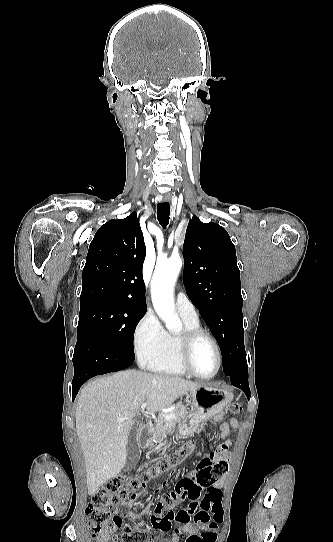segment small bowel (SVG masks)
<instances>
[{
  "label": "small bowel",
  "instance_id": "c3829d8e",
  "mask_svg": "<svg viewBox=\"0 0 333 542\" xmlns=\"http://www.w3.org/2000/svg\"><path fill=\"white\" fill-rule=\"evenodd\" d=\"M214 422H219V421H214ZM239 428V423L238 421L235 419V418H231L228 422H224L222 423L221 427H220V433L219 435L213 439V442H218L220 443L219 445V450L220 451H217L216 454L214 451H209L208 452V457L209 458H214L215 455L216 457L220 460L221 458L224 460L225 458L227 460H229L231 457L229 455H227L226 457L223 455V453H227V451L230 449V447L232 446L233 444V439L229 437V434H230V430L233 429V430H237ZM153 482H152V481ZM151 480H146L145 484H141V489H148L149 485H151L152 483H154L155 485L158 483L156 481V479L153 477ZM225 483V479L224 478H220L218 480H216L213 484V487L219 489L221 488ZM154 493L155 494H160L161 493V488L160 487H155L154 488ZM163 498H166L168 497V493H163ZM152 499V495L150 496H143L141 494H136L133 498L127 500V501H124L121 503V506L123 507H138L140 504H142L144 501H150ZM149 504L144 507V508H141V509H135L134 511L130 512L128 514L129 516V519L131 521H135L139 518H141L142 516H144L145 514H147L149 512ZM182 511H186V510H182ZM182 525V529L183 531L186 533V534H192V533H195L196 532V529H201L202 528V523L201 522H195L194 525L191 524L190 522L189 523H185V524H181ZM118 528H123V523H118ZM138 526H141L140 523H138ZM206 528L209 526L207 523L204 525ZM170 542H179V535L174 533L171 537V540Z\"/></svg>",
  "mask_w": 333,
  "mask_h": 542
}]
</instances>
